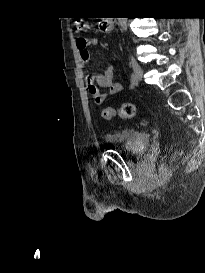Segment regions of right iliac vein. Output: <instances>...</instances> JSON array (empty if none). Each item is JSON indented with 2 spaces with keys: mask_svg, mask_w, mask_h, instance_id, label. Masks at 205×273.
Listing matches in <instances>:
<instances>
[{
  "mask_svg": "<svg viewBox=\"0 0 205 273\" xmlns=\"http://www.w3.org/2000/svg\"><path fill=\"white\" fill-rule=\"evenodd\" d=\"M131 66L137 82L141 81L143 77V70L139 63L134 58H131Z\"/></svg>",
  "mask_w": 205,
  "mask_h": 273,
  "instance_id": "1",
  "label": "right iliac vein"
}]
</instances>
